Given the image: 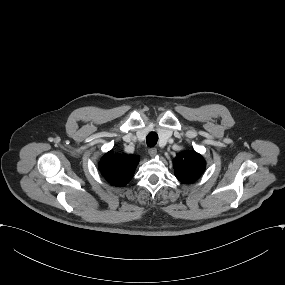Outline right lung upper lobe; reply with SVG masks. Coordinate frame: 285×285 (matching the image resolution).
Listing matches in <instances>:
<instances>
[{
  "label": "right lung upper lobe",
  "mask_w": 285,
  "mask_h": 285,
  "mask_svg": "<svg viewBox=\"0 0 285 285\" xmlns=\"http://www.w3.org/2000/svg\"><path fill=\"white\" fill-rule=\"evenodd\" d=\"M138 162L139 157L136 155H121L110 151L100 160L99 169L110 184L124 186L133 177Z\"/></svg>",
  "instance_id": "obj_1"
}]
</instances>
